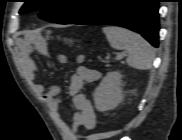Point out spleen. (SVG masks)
Listing matches in <instances>:
<instances>
[{"label":"spleen","mask_w":182,"mask_h":140,"mask_svg":"<svg viewBox=\"0 0 182 140\" xmlns=\"http://www.w3.org/2000/svg\"><path fill=\"white\" fill-rule=\"evenodd\" d=\"M103 32L114 49L127 52V63L138 70H148L152 67L154 50L139 34L130 30L109 26Z\"/></svg>","instance_id":"3e777b00"}]
</instances>
